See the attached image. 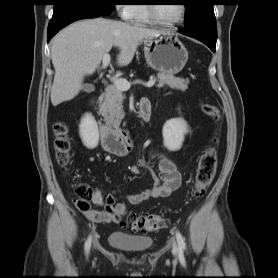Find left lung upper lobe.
I'll return each mask as SVG.
<instances>
[{
    "mask_svg": "<svg viewBox=\"0 0 278 278\" xmlns=\"http://www.w3.org/2000/svg\"><path fill=\"white\" fill-rule=\"evenodd\" d=\"M214 0H185V27L198 26L217 39V26L212 5Z\"/></svg>",
    "mask_w": 278,
    "mask_h": 278,
    "instance_id": "1",
    "label": "left lung upper lobe"
}]
</instances>
